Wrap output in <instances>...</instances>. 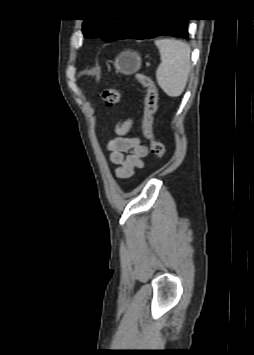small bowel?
Wrapping results in <instances>:
<instances>
[{
  "instance_id": "1",
  "label": "small bowel",
  "mask_w": 254,
  "mask_h": 355,
  "mask_svg": "<svg viewBox=\"0 0 254 355\" xmlns=\"http://www.w3.org/2000/svg\"><path fill=\"white\" fill-rule=\"evenodd\" d=\"M132 119H128L118 125L116 132L118 136L108 143L110 150V162L117 165L115 174L125 179L133 175L136 169H143L144 158L148 155L149 149L137 136H128L132 127Z\"/></svg>"
}]
</instances>
